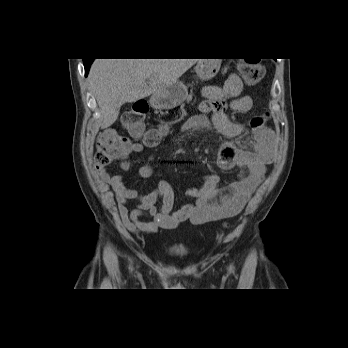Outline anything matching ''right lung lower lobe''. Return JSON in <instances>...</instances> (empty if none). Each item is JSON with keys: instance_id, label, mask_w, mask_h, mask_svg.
I'll use <instances>...</instances> for the list:
<instances>
[{"instance_id": "1", "label": "right lung lower lobe", "mask_w": 348, "mask_h": 348, "mask_svg": "<svg viewBox=\"0 0 348 348\" xmlns=\"http://www.w3.org/2000/svg\"><path fill=\"white\" fill-rule=\"evenodd\" d=\"M92 61H93V59H83L86 75L88 74V71H89V68H90Z\"/></svg>"}]
</instances>
